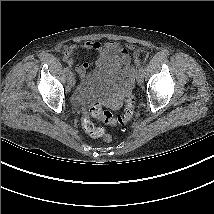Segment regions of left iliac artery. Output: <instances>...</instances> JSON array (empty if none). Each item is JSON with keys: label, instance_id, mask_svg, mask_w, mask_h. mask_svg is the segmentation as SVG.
<instances>
[{"label": "left iliac artery", "instance_id": "left-iliac-artery-1", "mask_svg": "<svg viewBox=\"0 0 214 214\" xmlns=\"http://www.w3.org/2000/svg\"><path fill=\"white\" fill-rule=\"evenodd\" d=\"M143 71H144L143 66H140V67H139V72H143Z\"/></svg>", "mask_w": 214, "mask_h": 214}]
</instances>
